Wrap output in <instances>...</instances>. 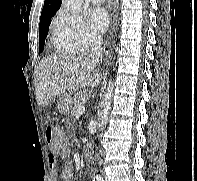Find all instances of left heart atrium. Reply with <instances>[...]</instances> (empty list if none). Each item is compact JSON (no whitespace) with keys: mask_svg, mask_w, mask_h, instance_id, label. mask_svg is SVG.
<instances>
[{"mask_svg":"<svg viewBox=\"0 0 197 181\" xmlns=\"http://www.w3.org/2000/svg\"><path fill=\"white\" fill-rule=\"evenodd\" d=\"M90 26L97 32L104 31L109 24V14L102 7H94L87 14Z\"/></svg>","mask_w":197,"mask_h":181,"instance_id":"obj_1","label":"left heart atrium"}]
</instances>
